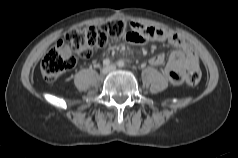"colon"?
Segmentation results:
<instances>
[{"label":"colon","mask_w":238,"mask_h":158,"mask_svg":"<svg viewBox=\"0 0 238 158\" xmlns=\"http://www.w3.org/2000/svg\"><path fill=\"white\" fill-rule=\"evenodd\" d=\"M132 33V24L121 20L108 21L99 27L70 30L65 38L44 56L40 66L42 76L46 81L53 82L75 66V54L89 57L94 50L106 46L109 39H127ZM200 79L201 71L197 68L187 73L185 81L187 85L195 86Z\"/></svg>","instance_id":"colon-1"}]
</instances>
